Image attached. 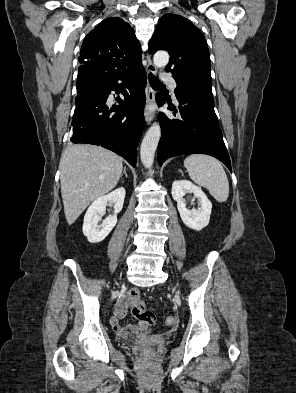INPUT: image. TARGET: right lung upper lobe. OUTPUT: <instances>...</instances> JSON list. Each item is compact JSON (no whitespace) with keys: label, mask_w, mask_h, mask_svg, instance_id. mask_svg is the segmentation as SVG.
<instances>
[{"label":"right lung upper lobe","mask_w":296,"mask_h":393,"mask_svg":"<svg viewBox=\"0 0 296 393\" xmlns=\"http://www.w3.org/2000/svg\"><path fill=\"white\" fill-rule=\"evenodd\" d=\"M140 43L133 28L119 17L99 23L84 39L80 67L107 76L121 75L142 67Z\"/></svg>","instance_id":"cb5924a9"}]
</instances>
